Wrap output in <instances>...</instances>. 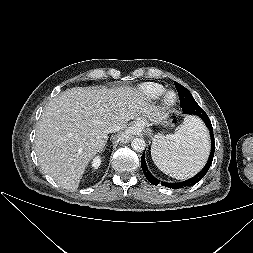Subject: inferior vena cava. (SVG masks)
<instances>
[{
  "label": "inferior vena cava",
  "mask_w": 253,
  "mask_h": 253,
  "mask_svg": "<svg viewBox=\"0 0 253 253\" xmlns=\"http://www.w3.org/2000/svg\"><path fill=\"white\" fill-rule=\"evenodd\" d=\"M118 130H119V127H115V128L110 127V128L107 129V133H112V132H115V131H118Z\"/></svg>",
  "instance_id": "602c4592"
}]
</instances>
